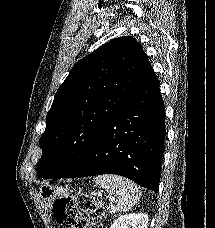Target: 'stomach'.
<instances>
[{
  "label": "stomach",
  "mask_w": 215,
  "mask_h": 228,
  "mask_svg": "<svg viewBox=\"0 0 215 228\" xmlns=\"http://www.w3.org/2000/svg\"><path fill=\"white\" fill-rule=\"evenodd\" d=\"M71 192L72 190H70L68 186L62 188V186L43 184V186L39 188L40 198H42L46 208H49V210H53L55 200H58V198H68Z\"/></svg>",
  "instance_id": "obj_1"
}]
</instances>
